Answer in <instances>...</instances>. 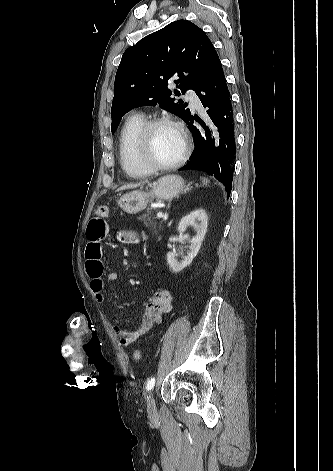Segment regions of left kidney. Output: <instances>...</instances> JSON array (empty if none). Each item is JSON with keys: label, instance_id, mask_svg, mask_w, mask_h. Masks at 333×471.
<instances>
[{"label": "left kidney", "instance_id": "obj_1", "mask_svg": "<svg viewBox=\"0 0 333 471\" xmlns=\"http://www.w3.org/2000/svg\"><path fill=\"white\" fill-rule=\"evenodd\" d=\"M207 224L208 217L203 209H197L181 219L178 225V231L180 233L185 232L189 225H194L196 227L197 233L193 238L190 239V251L188 252L187 256L183 257L182 261L179 262L177 260V253L175 251L168 252L167 262L173 272H180L191 264L194 257L199 252L202 240L204 239V236L207 232Z\"/></svg>", "mask_w": 333, "mask_h": 471}]
</instances>
